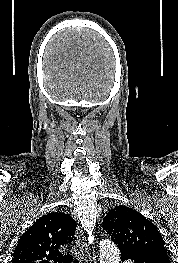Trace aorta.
I'll list each match as a JSON object with an SVG mask.
<instances>
[{"label":"aorta","mask_w":178,"mask_h":263,"mask_svg":"<svg viewBox=\"0 0 178 263\" xmlns=\"http://www.w3.org/2000/svg\"><path fill=\"white\" fill-rule=\"evenodd\" d=\"M100 263H119L120 252L118 247L108 239L100 242Z\"/></svg>","instance_id":"1"}]
</instances>
